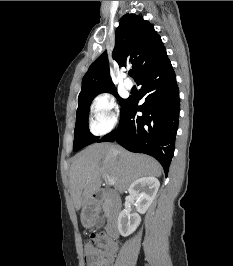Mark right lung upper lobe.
<instances>
[{
  "label": "right lung upper lobe",
  "mask_w": 233,
  "mask_h": 266,
  "mask_svg": "<svg viewBox=\"0 0 233 266\" xmlns=\"http://www.w3.org/2000/svg\"><path fill=\"white\" fill-rule=\"evenodd\" d=\"M167 56L161 37L142 16L125 14L115 32L113 59L120 65H132L135 81ZM115 89L110 78L107 53L101 54L89 67L82 80L79 99Z\"/></svg>",
  "instance_id": "1"
}]
</instances>
